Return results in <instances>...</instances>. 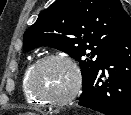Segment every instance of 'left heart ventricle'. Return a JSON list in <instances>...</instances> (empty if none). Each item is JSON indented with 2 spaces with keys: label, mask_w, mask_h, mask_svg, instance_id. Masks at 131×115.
Returning <instances> with one entry per match:
<instances>
[{
  "label": "left heart ventricle",
  "mask_w": 131,
  "mask_h": 115,
  "mask_svg": "<svg viewBox=\"0 0 131 115\" xmlns=\"http://www.w3.org/2000/svg\"><path fill=\"white\" fill-rule=\"evenodd\" d=\"M73 82L72 69L60 60H53L44 64L35 79L37 90L53 99L65 96L71 90Z\"/></svg>",
  "instance_id": "1"
}]
</instances>
